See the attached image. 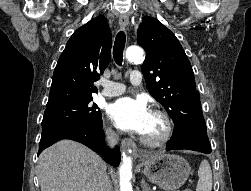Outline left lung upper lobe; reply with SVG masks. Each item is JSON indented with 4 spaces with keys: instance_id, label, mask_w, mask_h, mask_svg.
<instances>
[{
    "instance_id": "obj_1",
    "label": "left lung upper lobe",
    "mask_w": 251,
    "mask_h": 191,
    "mask_svg": "<svg viewBox=\"0 0 251 191\" xmlns=\"http://www.w3.org/2000/svg\"><path fill=\"white\" fill-rule=\"evenodd\" d=\"M137 40L146 51L141 70L147 88L173 119L172 136L207 131L194 73L176 36L157 19L145 16Z\"/></svg>"
}]
</instances>
